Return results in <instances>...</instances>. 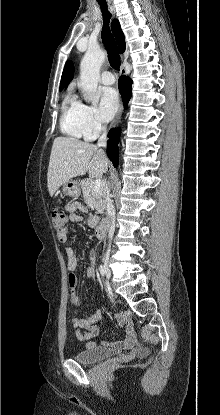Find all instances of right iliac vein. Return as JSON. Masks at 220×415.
<instances>
[{"label": "right iliac vein", "mask_w": 220, "mask_h": 415, "mask_svg": "<svg viewBox=\"0 0 220 415\" xmlns=\"http://www.w3.org/2000/svg\"><path fill=\"white\" fill-rule=\"evenodd\" d=\"M103 263H104V271H105L106 276L108 278H111V270L109 268V260L107 256L103 259Z\"/></svg>", "instance_id": "63e3f726"}]
</instances>
